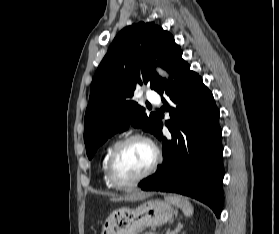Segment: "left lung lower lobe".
<instances>
[{
	"instance_id": "left-lung-lower-lobe-1",
	"label": "left lung lower lobe",
	"mask_w": 279,
	"mask_h": 234,
	"mask_svg": "<svg viewBox=\"0 0 279 234\" xmlns=\"http://www.w3.org/2000/svg\"><path fill=\"white\" fill-rule=\"evenodd\" d=\"M167 71L170 80L162 79L156 91L167 96L162 100L171 116L165 124L172 136L163 137L159 121L155 136L163 140L164 162L139 186L190 196L210 206L219 218L224 201L219 110L202 78L182 59L181 49Z\"/></svg>"
}]
</instances>
